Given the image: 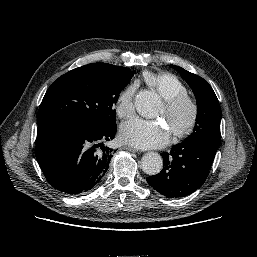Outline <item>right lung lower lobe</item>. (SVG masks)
Wrapping results in <instances>:
<instances>
[{
  "label": "right lung lower lobe",
  "instance_id": "right-lung-lower-lobe-1",
  "mask_svg": "<svg viewBox=\"0 0 257 257\" xmlns=\"http://www.w3.org/2000/svg\"><path fill=\"white\" fill-rule=\"evenodd\" d=\"M116 124L95 126L76 118H54L38 124L36 158L56 189L79 194L93 188L107 172Z\"/></svg>",
  "mask_w": 257,
  "mask_h": 257
}]
</instances>
